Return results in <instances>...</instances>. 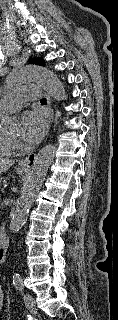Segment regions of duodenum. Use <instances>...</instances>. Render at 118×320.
Here are the masks:
<instances>
[{"mask_svg":"<svg viewBox=\"0 0 118 320\" xmlns=\"http://www.w3.org/2000/svg\"><path fill=\"white\" fill-rule=\"evenodd\" d=\"M9 245V238L4 232H0V263L4 260V252Z\"/></svg>","mask_w":118,"mask_h":320,"instance_id":"410a0bca","label":"duodenum"}]
</instances>
